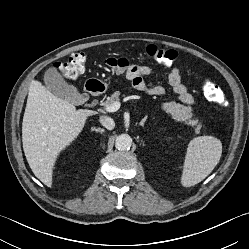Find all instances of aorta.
<instances>
[{"mask_svg":"<svg viewBox=\"0 0 249 249\" xmlns=\"http://www.w3.org/2000/svg\"><path fill=\"white\" fill-rule=\"evenodd\" d=\"M132 145V138L128 134H121L116 138L115 147L118 150H129Z\"/></svg>","mask_w":249,"mask_h":249,"instance_id":"obj_1","label":"aorta"}]
</instances>
